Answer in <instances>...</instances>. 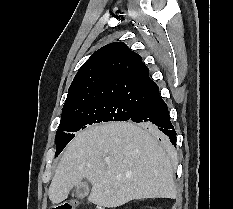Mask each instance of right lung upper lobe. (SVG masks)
I'll return each mask as SVG.
<instances>
[{
  "label": "right lung upper lobe",
  "mask_w": 233,
  "mask_h": 209,
  "mask_svg": "<svg viewBox=\"0 0 233 209\" xmlns=\"http://www.w3.org/2000/svg\"><path fill=\"white\" fill-rule=\"evenodd\" d=\"M141 56L124 43L105 45L81 66L68 90L62 113L101 100L143 105L159 94Z\"/></svg>",
  "instance_id": "cb5924a9"
}]
</instances>
